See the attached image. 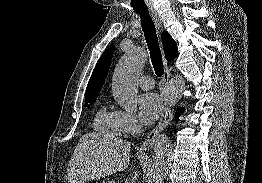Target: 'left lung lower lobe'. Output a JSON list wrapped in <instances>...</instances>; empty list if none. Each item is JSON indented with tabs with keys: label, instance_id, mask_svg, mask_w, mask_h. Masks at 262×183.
<instances>
[{
	"label": "left lung lower lobe",
	"instance_id": "left-lung-lower-lobe-1",
	"mask_svg": "<svg viewBox=\"0 0 262 183\" xmlns=\"http://www.w3.org/2000/svg\"><path fill=\"white\" fill-rule=\"evenodd\" d=\"M184 108L179 107L176 111V119H178V117L183 113Z\"/></svg>",
	"mask_w": 262,
	"mask_h": 183
}]
</instances>
